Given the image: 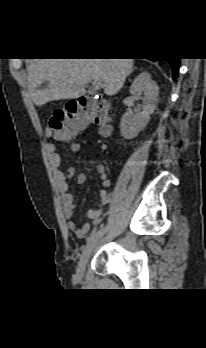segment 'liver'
I'll use <instances>...</instances> for the list:
<instances>
[{
  "label": "liver",
  "mask_w": 206,
  "mask_h": 348,
  "mask_svg": "<svg viewBox=\"0 0 206 348\" xmlns=\"http://www.w3.org/2000/svg\"><path fill=\"white\" fill-rule=\"evenodd\" d=\"M133 59H34L27 68L28 90L36 106L60 99H77L85 86L100 80L104 93L117 94L132 72ZM43 83H48L42 88Z\"/></svg>",
  "instance_id": "6515ba94"
}]
</instances>
